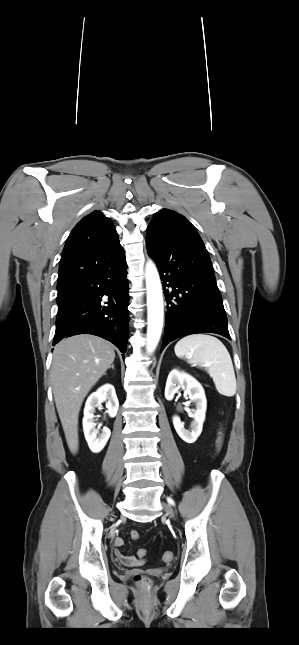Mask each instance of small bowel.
Wrapping results in <instances>:
<instances>
[{
  "instance_id": "1",
  "label": "small bowel",
  "mask_w": 299,
  "mask_h": 645,
  "mask_svg": "<svg viewBox=\"0 0 299 645\" xmlns=\"http://www.w3.org/2000/svg\"><path fill=\"white\" fill-rule=\"evenodd\" d=\"M115 545V556L117 560L126 566H135L142 563V559L132 555L123 554L120 551V548L124 545V540L121 537H117L114 540Z\"/></svg>"
}]
</instances>
